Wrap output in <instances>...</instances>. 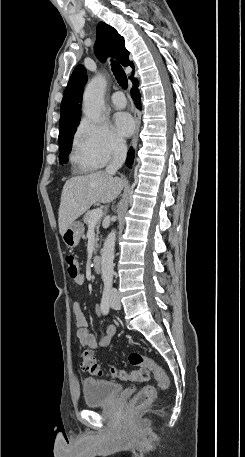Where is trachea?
Listing matches in <instances>:
<instances>
[{
  "label": "trachea",
  "mask_w": 245,
  "mask_h": 457,
  "mask_svg": "<svg viewBox=\"0 0 245 457\" xmlns=\"http://www.w3.org/2000/svg\"><path fill=\"white\" fill-rule=\"evenodd\" d=\"M112 70L119 85L126 90L128 80L122 67L116 62H112Z\"/></svg>",
  "instance_id": "obj_1"
}]
</instances>
